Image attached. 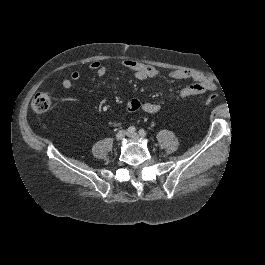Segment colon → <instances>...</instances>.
Returning a JSON list of instances; mask_svg holds the SVG:
<instances>
[{
  "label": "colon",
  "instance_id": "obj_1",
  "mask_svg": "<svg viewBox=\"0 0 265 265\" xmlns=\"http://www.w3.org/2000/svg\"><path fill=\"white\" fill-rule=\"evenodd\" d=\"M218 98L217 94H212L207 97L206 103H211ZM52 103L51 95L47 92H41L35 95L32 100V108L36 113H45L47 112Z\"/></svg>",
  "mask_w": 265,
  "mask_h": 265
}]
</instances>
